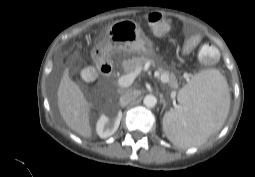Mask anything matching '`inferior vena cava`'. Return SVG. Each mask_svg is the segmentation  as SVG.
<instances>
[{
  "label": "inferior vena cava",
  "instance_id": "1",
  "mask_svg": "<svg viewBox=\"0 0 255 177\" xmlns=\"http://www.w3.org/2000/svg\"><path fill=\"white\" fill-rule=\"evenodd\" d=\"M138 96L139 93L137 91H127L120 97V105L125 107L131 104L137 99Z\"/></svg>",
  "mask_w": 255,
  "mask_h": 177
}]
</instances>
